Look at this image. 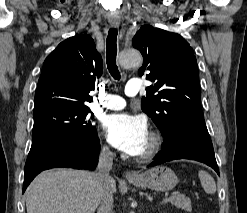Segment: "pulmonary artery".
<instances>
[{"label":"pulmonary artery","mask_w":247,"mask_h":213,"mask_svg":"<svg viewBox=\"0 0 247 213\" xmlns=\"http://www.w3.org/2000/svg\"><path fill=\"white\" fill-rule=\"evenodd\" d=\"M140 91V79L139 78H133L131 79L126 87H125V94L127 96H136ZM126 105V101L124 98L117 96V95H111L106 94L104 96V101L101 104V107L111 110H119L124 108Z\"/></svg>","instance_id":"e3ab8cb5"}]
</instances>
